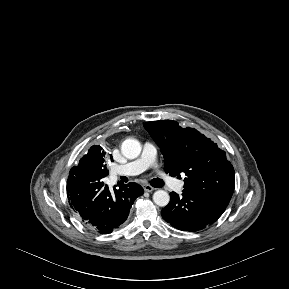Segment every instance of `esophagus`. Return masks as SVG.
<instances>
[{
  "label": "esophagus",
  "mask_w": 289,
  "mask_h": 289,
  "mask_svg": "<svg viewBox=\"0 0 289 289\" xmlns=\"http://www.w3.org/2000/svg\"><path fill=\"white\" fill-rule=\"evenodd\" d=\"M143 189L146 191V192H152L155 190V188H153L152 186L148 185V184H144L143 185Z\"/></svg>",
  "instance_id": "obj_1"
}]
</instances>
